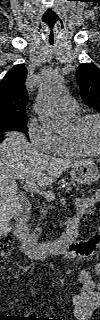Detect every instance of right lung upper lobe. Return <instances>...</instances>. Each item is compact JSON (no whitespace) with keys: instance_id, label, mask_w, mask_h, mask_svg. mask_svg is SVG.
<instances>
[{"instance_id":"1","label":"right lung upper lobe","mask_w":100,"mask_h":320,"mask_svg":"<svg viewBox=\"0 0 100 320\" xmlns=\"http://www.w3.org/2000/svg\"><path fill=\"white\" fill-rule=\"evenodd\" d=\"M26 76L27 69L19 64L11 68L0 82V120L26 117Z\"/></svg>"}]
</instances>
